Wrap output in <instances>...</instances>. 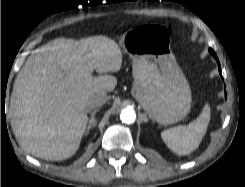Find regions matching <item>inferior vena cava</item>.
Here are the masks:
<instances>
[{"mask_svg":"<svg viewBox=\"0 0 245 187\" xmlns=\"http://www.w3.org/2000/svg\"><path fill=\"white\" fill-rule=\"evenodd\" d=\"M107 94L105 91H99L96 93H93L89 96L86 106L88 109L100 107L104 105L107 102Z\"/></svg>","mask_w":245,"mask_h":187,"instance_id":"obj_1","label":"inferior vena cava"}]
</instances>
